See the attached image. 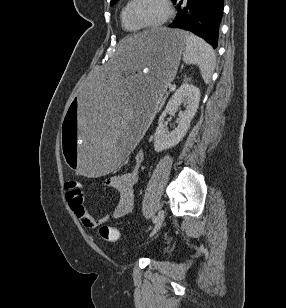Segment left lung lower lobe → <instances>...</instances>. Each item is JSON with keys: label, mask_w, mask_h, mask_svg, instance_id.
I'll list each match as a JSON object with an SVG mask.
<instances>
[{"label": "left lung lower lobe", "mask_w": 286, "mask_h": 308, "mask_svg": "<svg viewBox=\"0 0 286 308\" xmlns=\"http://www.w3.org/2000/svg\"><path fill=\"white\" fill-rule=\"evenodd\" d=\"M178 14L169 25L189 30L217 48L223 0H172Z\"/></svg>", "instance_id": "obj_1"}]
</instances>
